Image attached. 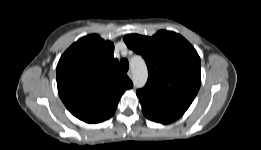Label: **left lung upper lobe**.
I'll use <instances>...</instances> for the list:
<instances>
[{"label":"left lung upper lobe","mask_w":261,"mask_h":150,"mask_svg":"<svg viewBox=\"0 0 261 150\" xmlns=\"http://www.w3.org/2000/svg\"><path fill=\"white\" fill-rule=\"evenodd\" d=\"M124 41L143 56L148 67V82L137 90L139 100L183 115L201 84L200 57L193 46L165 30L152 37L129 34Z\"/></svg>","instance_id":"left-lung-upper-lobe-1"}]
</instances>
